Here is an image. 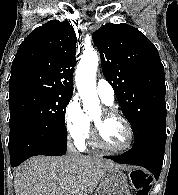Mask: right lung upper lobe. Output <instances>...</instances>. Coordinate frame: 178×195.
Instances as JSON below:
<instances>
[{
  "instance_id": "obj_1",
  "label": "right lung upper lobe",
  "mask_w": 178,
  "mask_h": 195,
  "mask_svg": "<svg viewBox=\"0 0 178 195\" xmlns=\"http://www.w3.org/2000/svg\"><path fill=\"white\" fill-rule=\"evenodd\" d=\"M76 40L68 21L51 20L34 29L12 62L9 96L25 91L73 94Z\"/></svg>"
}]
</instances>
